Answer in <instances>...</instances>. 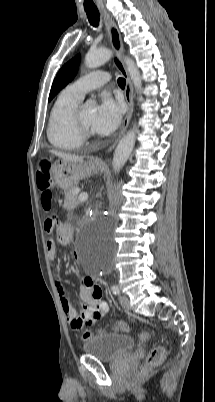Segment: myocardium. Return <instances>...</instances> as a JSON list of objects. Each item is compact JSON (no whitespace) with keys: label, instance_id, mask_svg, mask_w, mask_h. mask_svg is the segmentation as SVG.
I'll list each match as a JSON object with an SVG mask.
<instances>
[{"label":"myocardium","instance_id":"f54148a6","mask_svg":"<svg viewBox=\"0 0 215 402\" xmlns=\"http://www.w3.org/2000/svg\"><path fill=\"white\" fill-rule=\"evenodd\" d=\"M81 109L82 105L80 103L73 112V125L78 135L82 139H87L93 136V132L84 126L81 120Z\"/></svg>","mask_w":215,"mask_h":402}]
</instances>
